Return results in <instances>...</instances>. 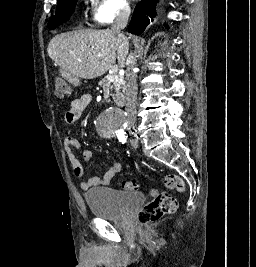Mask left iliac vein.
Here are the masks:
<instances>
[{"mask_svg":"<svg viewBox=\"0 0 256 267\" xmlns=\"http://www.w3.org/2000/svg\"><path fill=\"white\" fill-rule=\"evenodd\" d=\"M131 146L136 149L138 147V140L137 139H132L131 140Z\"/></svg>","mask_w":256,"mask_h":267,"instance_id":"obj_1","label":"left iliac vein"}]
</instances>
